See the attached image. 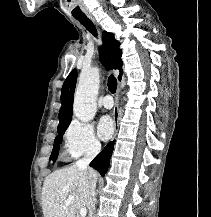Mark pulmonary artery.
<instances>
[{
    "label": "pulmonary artery",
    "mask_w": 211,
    "mask_h": 217,
    "mask_svg": "<svg viewBox=\"0 0 211 217\" xmlns=\"http://www.w3.org/2000/svg\"><path fill=\"white\" fill-rule=\"evenodd\" d=\"M102 105L105 109H111L113 107V99L110 95H106L102 100Z\"/></svg>",
    "instance_id": "pulmonary-artery-1"
}]
</instances>
